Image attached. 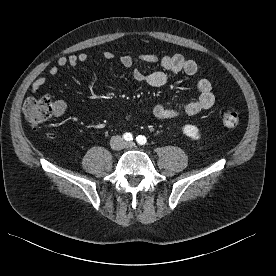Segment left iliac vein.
I'll use <instances>...</instances> for the list:
<instances>
[{"instance_id":"obj_1","label":"left iliac vein","mask_w":276,"mask_h":276,"mask_svg":"<svg viewBox=\"0 0 276 276\" xmlns=\"http://www.w3.org/2000/svg\"><path fill=\"white\" fill-rule=\"evenodd\" d=\"M134 145H135V144H134L133 142H128V143L125 144V147L131 148V147H133Z\"/></svg>"}]
</instances>
